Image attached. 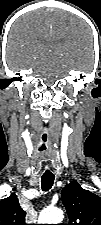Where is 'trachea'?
Masks as SVG:
<instances>
[{
	"mask_svg": "<svg viewBox=\"0 0 101 225\" xmlns=\"http://www.w3.org/2000/svg\"><path fill=\"white\" fill-rule=\"evenodd\" d=\"M54 175H43L41 180V188L43 191H48L52 188L54 182Z\"/></svg>",
	"mask_w": 101,
	"mask_h": 225,
	"instance_id": "3493384b",
	"label": "trachea"
}]
</instances>
